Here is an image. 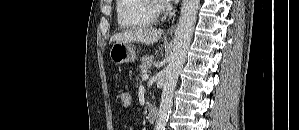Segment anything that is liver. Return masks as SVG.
Returning a JSON list of instances; mask_svg holds the SVG:
<instances>
[{
	"label": "liver",
	"instance_id": "liver-1",
	"mask_svg": "<svg viewBox=\"0 0 299 130\" xmlns=\"http://www.w3.org/2000/svg\"><path fill=\"white\" fill-rule=\"evenodd\" d=\"M161 29L154 28H135L127 29L113 35L110 42H140L147 45L155 44L162 36Z\"/></svg>",
	"mask_w": 299,
	"mask_h": 130
}]
</instances>
